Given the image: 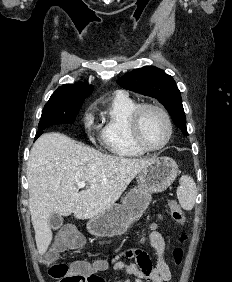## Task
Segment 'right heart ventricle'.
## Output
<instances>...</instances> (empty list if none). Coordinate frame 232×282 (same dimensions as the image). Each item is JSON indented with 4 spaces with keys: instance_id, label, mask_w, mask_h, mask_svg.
Segmentation results:
<instances>
[{
    "instance_id": "obj_1",
    "label": "right heart ventricle",
    "mask_w": 232,
    "mask_h": 282,
    "mask_svg": "<svg viewBox=\"0 0 232 282\" xmlns=\"http://www.w3.org/2000/svg\"><path fill=\"white\" fill-rule=\"evenodd\" d=\"M139 104L125 93H117L104 111L101 141L105 149L119 157H137L146 151L132 140L129 118Z\"/></svg>"
}]
</instances>
